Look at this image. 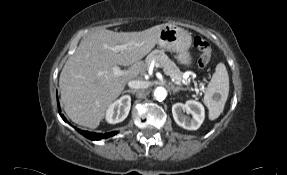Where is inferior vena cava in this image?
I'll return each mask as SVG.
<instances>
[{
	"label": "inferior vena cava",
	"mask_w": 287,
	"mask_h": 175,
	"mask_svg": "<svg viewBox=\"0 0 287 175\" xmlns=\"http://www.w3.org/2000/svg\"><path fill=\"white\" fill-rule=\"evenodd\" d=\"M128 86L134 89H145L148 87V83L146 81L131 80L128 82Z\"/></svg>",
	"instance_id": "obj_1"
}]
</instances>
